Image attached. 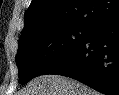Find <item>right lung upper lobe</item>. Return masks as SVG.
<instances>
[{"instance_id": "obj_1", "label": "right lung upper lobe", "mask_w": 119, "mask_h": 95, "mask_svg": "<svg viewBox=\"0 0 119 95\" xmlns=\"http://www.w3.org/2000/svg\"><path fill=\"white\" fill-rule=\"evenodd\" d=\"M119 18V0H32L24 14L22 36L50 26L97 27Z\"/></svg>"}]
</instances>
